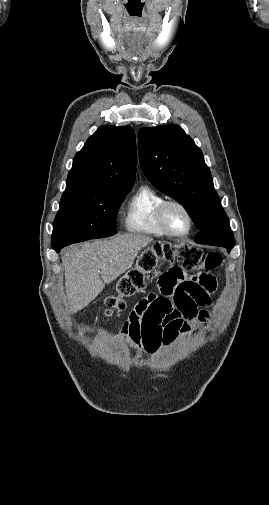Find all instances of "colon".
<instances>
[{
    "mask_svg": "<svg viewBox=\"0 0 269 505\" xmlns=\"http://www.w3.org/2000/svg\"><path fill=\"white\" fill-rule=\"evenodd\" d=\"M161 261H177L178 265L171 268L173 271L177 268H184L187 274H194L200 273L202 268H206L209 272L215 271L222 263V256L216 251H203L188 244L154 245L145 250L139 256L136 266L129 269L120 279L117 293L106 299V315H118L125 308L124 299L146 287L147 276ZM147 298L149 297L147 296ZM137 307H142V305L139 304Z\"/></svg>",
    "mask_w": 269,
    "mask_h": 505,
    "instance_id": "1",
    "label": "colon"
}]
</instances>
